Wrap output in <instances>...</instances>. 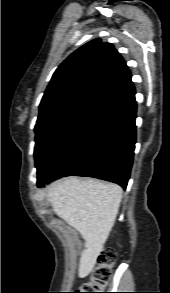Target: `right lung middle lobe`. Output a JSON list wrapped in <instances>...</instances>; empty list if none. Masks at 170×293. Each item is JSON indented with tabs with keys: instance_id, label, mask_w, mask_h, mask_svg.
Instances as JSON below:
<instances>
[{
	"instance_id": "right-lung-middle-lobe-1",
	"label": "right lung middle lobe",
	"mask_w": 170,
	"mask_h": 293,
	"mask_svg": "<svg viewBox=\"0 0 170 293\" xmlns=\"http://www.w3.org/2000/svg\"><path fill=\"white\" fill-rule=\"evenodd\" d=\"M107 107L79 104L62 109L35 126L37 183L49 177L59 162L87 135Z\"/></svg>"
}]
</instances>
